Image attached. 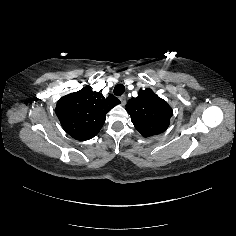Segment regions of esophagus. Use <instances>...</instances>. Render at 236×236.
<instances>
[{"mask_svg":"<svg viewBox=\"0 0 236 236\" xmlns=\"http://www.w3.org/2000/svg\"><path fill=\"white\" fill-rule=\"evenodd\" d=\"M119 99H120L122 105L126 104V96L125 95L120 96Z\"/></svg>","mask_w":236,"mask_h":236,"instance_id":"1","label":"esophagus"}]
</instances>
